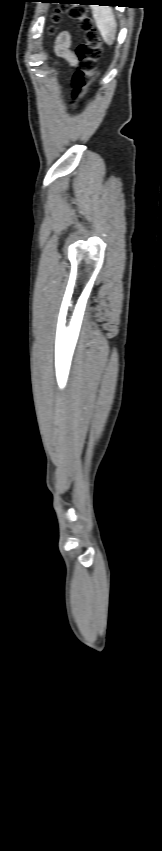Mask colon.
I'll return each mask as SVG.
<instances>
[{
	"label": "colon",
	"instance_id": "1",
	"mask_svg": "<svg viewBox=\"0 0 162 851\" xmlns=\"http://www.w3.org/2000/svg\"><path fill=\"white\" fill-rule=\"evenodd\" d=\"M60 12H67L71 19L77 20L83 32V40L75 49L80 66L74 77L73 98L77 100L88 94L90 86L97 77V62L102 54V40L93 19L87 14L85 8L76 5L61 7L52 17L54 23L59 22ZM49 31L52 33L54 28L51 27Z\"/></svg>",
	"mask_w": 162,
	"mask_h": 851
}]
</instances>
